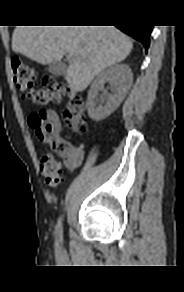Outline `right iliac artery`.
Returning <instances> with one entry per match:
<instances>
[{"label":"right iliac artery","mask_w":184,"mask_h":292,"mask_svg":"<svg viewBox=\"0 0 184 292\" xmlns=\"http://www.w3.org/2000/svg\"><path fill=\"white\" fill-rule=\"evenodd\" d=\"M62 234H63V229H62V226H61V219H60L58 224H57V226H56V235L59 238H62Z\"/></svg>","instance_id":"right-iliac-artery-1"}]
</instances>
